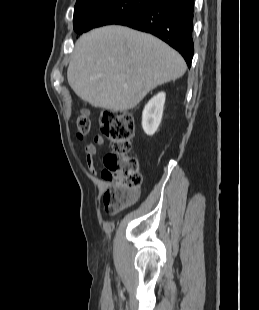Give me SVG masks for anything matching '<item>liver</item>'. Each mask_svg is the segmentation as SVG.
<instances>
[{
  "instance_id": "6515ba94",
  "label": "liver",
  "mask_w": 259,
  "mask_h": 310,
  "mask_svg": "<svg viewBox=\"0 0 259 310\" xmlns=\"http://www.w3.org/2000/svg\"><path fill=\"white\" fill-rule=\"evenodd\" d=\"M185 71L182 56L160 39L111 25L78 39L67 80L76 95L93 107L122 112Z\"/></svg>"
}]
</instances>
